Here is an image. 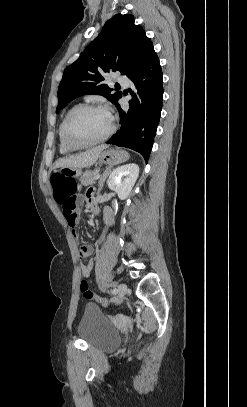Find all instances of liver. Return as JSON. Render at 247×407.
Wrapping results in <instances>:
<instances>
[{"instance_id": "liver-1", "label": "liver", "mask_w": 247, "mask_h": 407, "mask_svg": "<svg viewBox=\"0 0 247 407\" xmlns=\"http://www.w3.org/2000/svg\"><path fill=\"white\" fill-rule=\"evenodd\" d=\"M106 147V145H100L77 155L62 158L55 163L54 168L67 167L72 169H81L84 167H90L97 161L101 152Z\"/></svg>"}]
</instances>
